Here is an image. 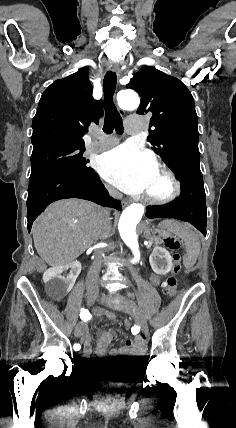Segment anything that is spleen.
I'll list each match as a JSON object with an SVG mask.
<instances>
[{
	"mask_svg": "<svg viewBox=\"0 0 236 428\" xmlns=\"http://www.w3.org/2000/svg\"><path fill=\"white\" fill-rule=\"evenodd\" d=\"M160 226H162L164 230H169V232H173V234H176L178 238H182V240H184L187 254H184L183 256V264L186 268L194 266L201 248L198 234L193 232L189 226H184V224L174 222V220H165V222H162Z\"/></svg>",
	"mask_w": 236,
	"mask_h": 428,
	"instance_id": "spleen-1",
	"label": "spleen"
}]
</instances>
